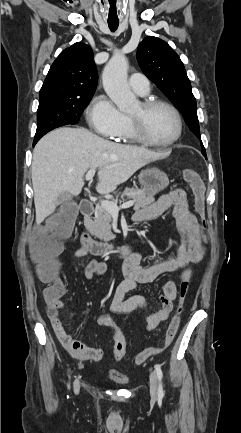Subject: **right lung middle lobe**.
Instances as JSON below:
<instances>
[{"label":"right lung middle lobe","mask_w":241,"mask_h":433,"mask_svg":"<svg viewBox=\"0 0 241 433\" xmlns=\"http://www.w3.org/2000/svg\"><path fill=\"white\" fill-rule=\"evenodd\" d=\"M91 98L92 96L86 98L53 97L39 100L34 142L57 127L77 124Z\"/></svg>","instance_id":"1"}]
</instances>
